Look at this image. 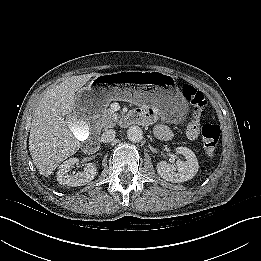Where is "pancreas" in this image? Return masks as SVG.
<instances>
[{
	"instance_id": "1",
	"label": "pancreas",
	"mask_w": 261,
	"mask_h": 261,
	"mask_svg": "<svg viewBox=\"0 0 261 261\" xmlns=\"http://www.w3.org/2000/svg\"><path fill=\"white\" fill-rule=\"evenodd\" d=\"M118 118L119 115L111 109H104L101 113L100 119L97 122V129L101 130L113 128L116 125Z\"/></svg>"
}]
</instances>
